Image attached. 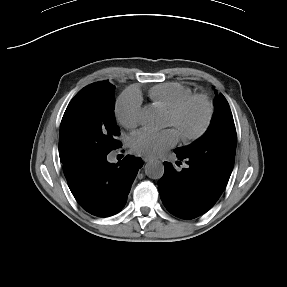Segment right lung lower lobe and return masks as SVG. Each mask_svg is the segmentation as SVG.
I'll list each match as a JSON object with an SVG mask.
<instances>
[{
  "instance_id": "obj_1",
  "label": "right lung lower lobe",
  "mask_w": 287,
  "mask_h": 287,
  "mask_svg": "<svg viewBox=\"0 0 287 287\" xmlns=\"http://www.w3.org/2000/svg\"><path fill=\"white\" fill-rule=\"evenodd\" d=\"M108 153L89 159L65 175L81 207L99 217L112 216L121 211L143 165L141 158L134 156H126L117 164L109 163Z\"/></svg>"
}]
</instances>
